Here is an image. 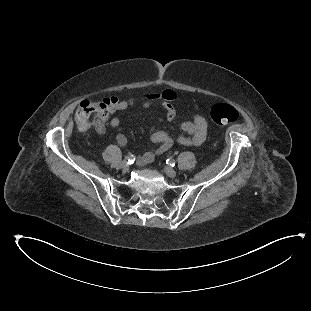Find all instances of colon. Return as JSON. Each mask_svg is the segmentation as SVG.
<instances>
[{
  "mask_svg": "<svg viewBox=\"0 0 311 311\" xmlns=\"http://www.w3.org/2000/svg\"><path fill=\"white\" fill-rule=\"evenodd\" d=\"M145 98L159 102L161 100H174L176 94L172 90L162 93H147ZM112 103L108 99L98 101H82L76 111L75 119L79 130L87 131L92 126L104 122L109 116ZM214 123L218 125L233 124L238 121V111L229 104H216L210 111Z\"/></svg>",
  "mask_w": 311,
  "mask_h": 311,
  "instance_id": "obj_1",
  "label": "colon"
}]
</instances>
